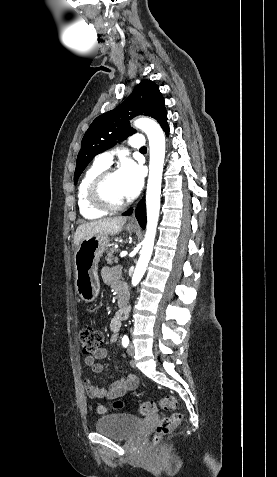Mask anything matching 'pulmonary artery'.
I'll list each match as a JSON object with an SVG mask.
<instances>
[{
  "label": "pulmonary artery",
  "mask_w": 277,
  "mask_h": 477,
  "mask_svg": "<svg viewBox=\"0 0 277 477\" xmlns=\"http://www.w3.org/2000/svg\"><path fill=\"white\" fill-rule=\"evenodd\" d=\"M129 144L131 147L133 148H141L144 144V140H143V137L142 135L140 134H136V135H133L131 138H130V141H129ZM112 159H113V156L111 153L109 152H104L102 154H100L96 160V162L100 163L101 165L103 166H109L112 162Z\"/></svg>",
  "instance_id": "1"
}]
</instances>
